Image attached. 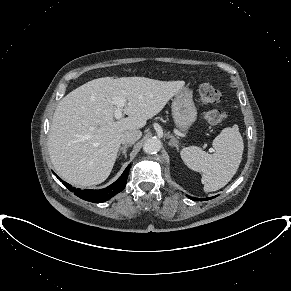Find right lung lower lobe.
Masks as SVG:
<instances>
[{
  "instance_id": "obj_1",
  "label": "right lung lower lobe",
  "mask_w": 291,
  "mask_h": 291,
  "mask_svg": "<svg viewBox=\"0 0 291 291\" xmlns=\"http://www.w3.org/2000/svg\"><path fill=\"white\" fill-rule=\"evenodd\" d=\"M130 167L131 165H128V167L124 170L123 174L118 178L117 181H115L110 186L100 190H88V189L81 190L80 188L72 187L70 184L62 181L61 179H59L58 176L57 178L69 190H71L76 196L80 197L81 199L94 203H101L109 200L110 198H112L114 195L121 192L125 188Z\"/></svg>"
}]
</instances>
